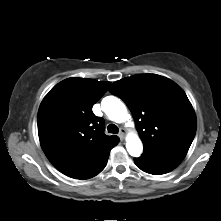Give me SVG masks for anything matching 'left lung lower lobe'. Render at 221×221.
I'll list each match as a JSON object with an SVG mask.
<instances>
[{
	"instance_id": "obj_1",
	"label": "left lung lower lobe",
	"mask_w": 221,
	"mask_h": 221,
	"mask_svg": "<svg viewBox=\"0 0 221 221\" xmlns=\"http://www.w3.org/2000/svg\"><path fill=\"white\" fill-rule=\"evenodd\" d=\"M185 150L165 152H143L134 162L141 170L149 174L161 175L176 168L186 156Z\"/></svg>"
}]
</instances>
